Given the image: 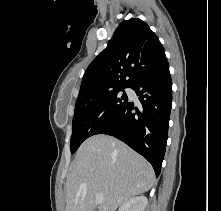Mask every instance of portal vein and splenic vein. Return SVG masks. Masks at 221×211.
I'll return each mask as SVG.
<instances>
[{"mask_svg":"<svg viewBox=\"0 0 221 211\" xmlns=\"http://www.w3.org/2000/svg\"><path fill=\"white\" fill-rule=\"evenodd\" d=\"M95 200H96V202H97L98 204H101V203L104 201V197H103L102 194H97V195L95 196Z\"/></svg>","mask_w":221,"mask_h":211,"instance_id":"18ae733b","label":"portal vein and splenic vein"}]
</instances>
